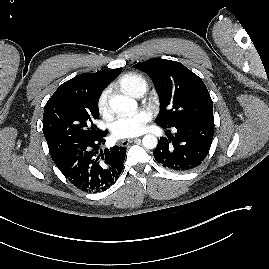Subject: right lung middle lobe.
Masks as SVG:
<instances>
[{
	"label": "right lung middle lobe",
	"mask_w": 269,
	"mask_h": 269,
	"mask_svg": "<svg viewBox=\"0 0 269 269\" xmlns=\"http://www.w3.org/2000/svg\"><path fill=\"white\" fill-rule=\"evenodd\" d=\"M98 117V98L46 103L43 133L52 159L55 160L73 145L91 141L103 133L93 123Z\"/></svg>",
	"instance_id": "obj_1"
}]
</instances>
